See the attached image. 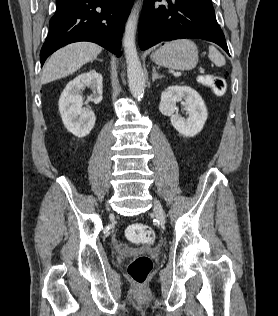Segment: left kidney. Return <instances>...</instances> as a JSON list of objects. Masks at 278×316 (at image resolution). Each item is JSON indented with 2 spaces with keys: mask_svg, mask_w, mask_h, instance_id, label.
Returning <instances> with one entry per match:
<instances>
[{
  "mask_svg": "<svg viewBox=\"0 0 278 316\" xmlns=\"http://www.w3.org/2000/svg\"><path fill=\"white\" fill-rule=\"evenodd\" d=\"M182 99L185 100L184 105L189 114L187 119L175 114L176 102ZM159 110L163 115L169 116L173 127L186 137L198 134L208 116L201 96L189 86L168 87L161 94Z\"/></svg>",
  "mask_w": 278,
  "mask_h": 316,
  "instance_id": "left-kidney-1",
  "label": "left kidney"
}]
</instances>
